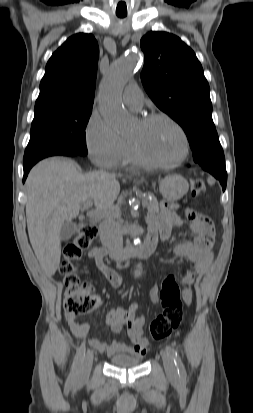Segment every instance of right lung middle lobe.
<instances>
[{"label":"right lung middle lobe","instance_id":"1","mask_svg":"<svg viewBox=\"0 0 253 413\" xmlns=\"http://www.w3.org/2000/svg\"><path fill=\"white\" fill-rule=\"evenodd\" d=\"M92 108L54 109L35 113L23 161L65 153L87 154L85 128Z\"/></svg>","mask_w":253,"mask_h":413}]
</instances>
